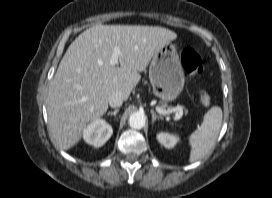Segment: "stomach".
<instances>
[{
	"label": "stomach",
	"mask_w": 272,
	"mask_h": 198,
	"mask_svg": "<svg viewBox=\"0 0 272 198\" xmlns=\"http://www.w3.org/2000/svg\"><path fill=\"white\" fill-rule=\"evenodd\" d=\"M149 79L156 95L164 102L174 101L182 92L185 77L176 46L167 43L152 58Z\"/></svg>",
	"instance_id": "1"
}]
</instances>
